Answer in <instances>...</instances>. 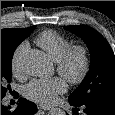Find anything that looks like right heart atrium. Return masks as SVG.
Masks as SVG:
<instances>
[{
	"label": "right heart atrium",
	"mask_w": 115,
	"mask_h": 115,
	"mask_svg": "<svg viewBox=\"0 0 115 115\" xmlns=\"http://www.w3.org/2000/svg\"><path fill=\"white\" fill-rule=\"evenodd\" d=\"M28 50V43H20L14 50L11 57V70L14 76L20 77L22 75V61L25 53Z\"/></svg>",
	"instance_id": "d8ad5b80"
}]
</instances>
